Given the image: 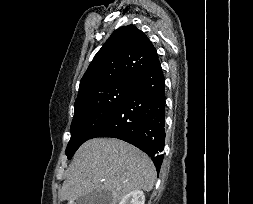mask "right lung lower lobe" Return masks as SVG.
Returning <instances> with one entry per match:
<instances>
[{"label":"right lung lower lobe","mask_w":253,"mask_h":204,"mask_svg":"<svg viewBox=\"0 0 253 204\" xmlns=\"http://www.w3.org/2000/svg\"><path fill=\"white\" fill-rule=\"evenodd\" d=\"M165 80L159 59L138 79L96 137H113L133 144L160 170L165 144Z\"/></svg>","instance_id":"98d812e1"}]
</instances>
